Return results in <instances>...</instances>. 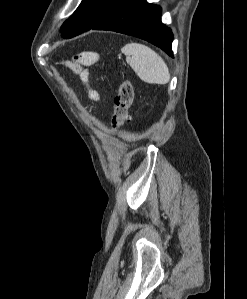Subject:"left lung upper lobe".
<instances>
[{
    "instance_id": "5c2ea615",
    "label": "left lung upper lobe",
    "mask_w": 247,
    "mask_h": 299,
    "mask_svg": "<svg viewBox=\"0 0 247 299\" xmlns=\"http://www.w3.org/2000/svg\"><path fill=\"white\" fill-rule=\"evenodd\" d=\"M126 0H82L76 11L61 27L64 38H71L90 30Z\"/></svg>"
}]
</instances>
